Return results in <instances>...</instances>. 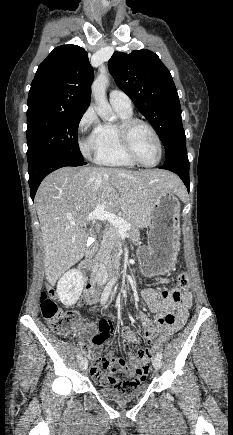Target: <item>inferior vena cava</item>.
Returning <instances> with one entry per match:
<instances>
[{
  "mask_svg": "<svg viewBox=\"0 0 233 435\" xmlns=\"http://www.w3.org/2000/svg\"><path fill=\"white\" fill-rule=\"evenodd\" d=\"M107 280V270L104 266H100L97 273V282L99 285H103Z\"/></svg>",
  "mask_w": 233,
  "mask_h": 435,
  "instance_id": "602c4592",
  "label": "inferior vena cava"
}]
</instances>
